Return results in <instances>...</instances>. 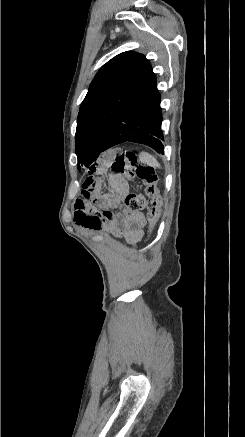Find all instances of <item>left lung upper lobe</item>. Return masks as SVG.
Listing matches in <instances>:
<instances>
[{"label": "left lung upper lobe", "mask_w": 245, "mask_h": 437, "mask_svg": "<svg viewBox=\"0 0 245 437\" xmlns=\"http://www.w3.org/2000/svg\"><path fill=\"white\" fill-rule=\"evenodd\" d=\"M151 72L144 55L127 51L109 60L95 75L77 118L79 170L98 158L112 126Z\"/></svg>", "instance_id": "1"}]
</instances>
